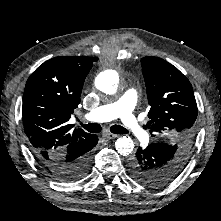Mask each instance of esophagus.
Instances as JSON below:
<instances>
[{
    "label": "esophagus",
    "mask_w": 221,
    "mask_h": 221,
    "mask_svg": "<svg viewBox=\"0 0 221 221\" xmlns=\"http://www.w3.org/2000/svg\"><path fill=\"white\" fill-rule=\"evenodd\" d=\"M103 137L110 140V139H115V138H117L118 135L112 134V133H105V134L103 135Z\"/></svg>",
    "instance_id": "obj_1"
}]
</instances>
